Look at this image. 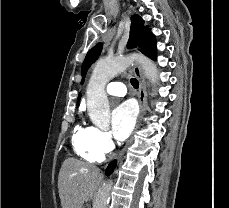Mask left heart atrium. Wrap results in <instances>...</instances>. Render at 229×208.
Wrapping results in <instances>:
<instances>
[{
	"mask_svg": "<svg viewBox=\"0 0 229 208\" xmlns=\"http://www.w3.org/2000/svg\"><path fill=\"white\" fill-rule=\"evenodd\" d=\"M136 122V108L126 101L117 106L112 114V131L117 140H125Z\"/></svg>",
	"mask_w": 229,
	"mask_h": 208,
	"instance_id": "39dd6f15",
	"label": "left heart atrium"
}]
</instances>
